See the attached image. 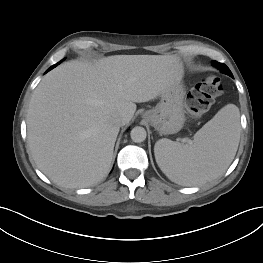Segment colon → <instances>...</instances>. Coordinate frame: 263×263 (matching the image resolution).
<instances>
[{
	"label": "colon",
	"instance_id": "colon-1",
	"mask_svg": "<svg viewBox=\"0 0 263 263\" xmlns=\"http://www.w3.org/2000/svg\"><path fill=\"white\" fill-rule=\"evenodd\" d=\"M222 92L223 86L219 78L213 75L203 78L186 97L185 108L188 116L192 119L202 117Z\"/></svg>",
	"mask_w": 263,
	"mask_h": 263
}]
</instances>
